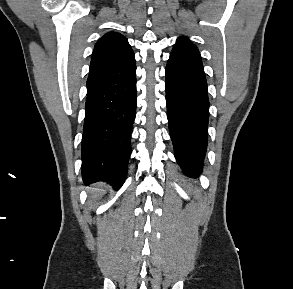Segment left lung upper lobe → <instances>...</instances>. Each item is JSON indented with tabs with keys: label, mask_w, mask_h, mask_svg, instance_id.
<instances>
[{
	"label": "left lung upper lobe",
	"mask_w": 293,
	"mask_h": 289,
	"mask_svg": "<svg viewBox=\"0 0 293 289\" xmlns=\"http://www.w3.org/2000/svg\"><path fill=\"white\" fill-rule=\"evenodd\" d=\"M171 54H188L201 59L198 48L187 37H179L177 39Z\"/></svg>",
	"instance_id": "1"
}]
</instances>
